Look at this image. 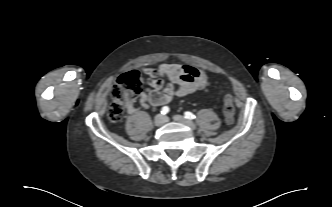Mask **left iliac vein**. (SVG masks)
<instances>
[{
  "mask_svg": "<svg viewBox=\"0 0 332 207\" xmlns=\"http://www.w3.org/2000/svg\"><path fill=\"white\" fill-rule=\"evenodd\" d=\"M173 119L179 123L186 125L187 127L191 128V129L196 128V125L192 121L186 119L185 117H183L181 115H174Z\"/></svg>",
  "mask_w": 332,
  "mask_h": 207,
  "instance_id": "left-iliac-vein-1",
  "label": "left iliac vein"
}]
</instances>
